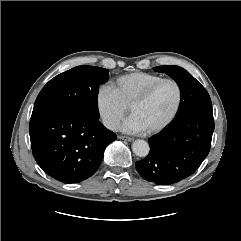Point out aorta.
Instances as JSON below:
<instances>
[{
	"instance_id": "1",
	"label": "aorta",
	"mask_w": 241,
	"mask_h": 241,
	"mask_svg": "<svg viewBox=\"0 0 241 241\" xmlns=\"http://www.w3.org/2000/svg\"><path fill=\"white\" fill-rule=\"evenodd\" d=\"M133 153L139 157H146L149 154V144L145 140H136L132 144Z\"/></svg>"
}]
</instances>
